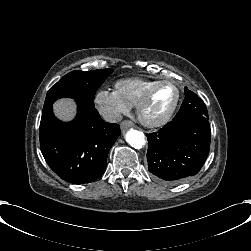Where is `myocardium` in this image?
I'll return each mask as SVG.
<instances>
[{
  "instance_id": "f54148a6",
  "label": "myocardium",
  "mask_w": 251,
  "mask_h": 251,
  "mask_svg": "<svg viewBox=\"0 0 251 251\" xmlns=\"http://www.w3.org/2000/svg\"><path fill=\"white\" fill-rule=\"evenodd\" d=\"M164 82H173L178 86L179 89V97L177 100V103L173 107V109L167 113L163 118L157 121H152L146 118L144 111L145 108L152 97L154 91L158 88V86ZM184 93H185V88L182 83H179L171 78L168 77H163L161 79L156 80L154 83H152L145 91L144 95L141 97V99L138 101L136 105V114L140 122L148 127V128H157L166 125L173 117L174 115L178 112L180 109L183 100H184Z\"/></svg>"
}]
</instances>
